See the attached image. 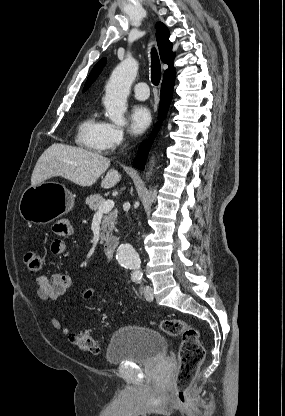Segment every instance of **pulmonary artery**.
Instances as JSON below:
<instances>
[{
	"label": "pulmonary artery",
	"mask_w": 285,
	"mask_h": 416,
	"mask_svg": "<svg viewBox=\"0 0 285 416\" xmlns=\"http://www.w3.org/2000/svg\"><path fill=\"white\" fill-rule=\"evenodd\" d=\"M147 86L144 82H139L132 86V91L137 99L145 100L148 98V89L145 87Z\"/></svg>",
	"instance_id": "pulmonary-artery-1"
}]
</instances>
